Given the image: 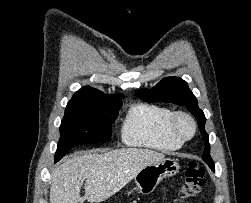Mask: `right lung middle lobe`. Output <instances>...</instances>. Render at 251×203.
<instances>
[{
  "instance_id": "obj_1",
  "label": "right lung middle lobe",
  "mask_w": 251,
  "mask_h": 203,
  "mask_svg": "<svg viewBox=\"0 0 251 203\" xmlns=\"http://www.w3.org/2000/svg\"><path fill=\"white\" fill-rule=\"evenodd\" d=\"M121 105L122 102L67 105L55 162L77 145L110 141L111 126Z\"/></svg>"
}]
</instances>
